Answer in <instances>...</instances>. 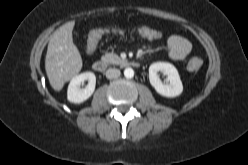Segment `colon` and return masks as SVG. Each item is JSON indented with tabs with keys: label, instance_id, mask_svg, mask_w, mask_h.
<instances>
[{
	"label": "colon",
	"instance_id": "colon-1",
	"mask_svg": "<svg viewBox=\"0 0 248 165\" xmlns=\"http://www.w3.org/2000/svg\"><path fill=\"white\" fill-rule=\"evenodd\" d=\"M119 30L117 29H109V28H102V29H96L94 31H92L89 35V39H88V50L89 51H93L94 48L96 47L98 41L105 35L108 34H114V33H118ZM143 33L148 36L151 37L153 39H158L160 37V33L152 28L149 29H144ZM203 61L201 58L199 57H193L189 60L187 68L190 71H198L201 67H202Z\"/></svg>",
	"mask_w": 248,
	"mask_h": 165
}]
</instances>
